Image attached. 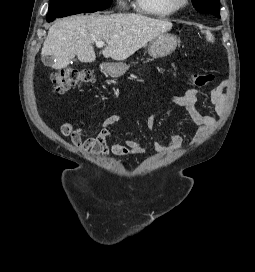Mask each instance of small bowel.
I'll return each mask as SVG.
<instances>
[{
	"instance_id": "c3829d8e",
	"label": "small bowel",
	"mask_w": 255,
	"mask_h": 272,
	"mask_svg": "<svg viewBox=\"0 0 255 272\" xmlns=\"http://www.w3.org/2000/svg\"><path fill=\"white\" fill-rule=\"evenodd\" d=\"M227 82L217 85L210 92V102L215 108V113L219 117L223 114L226 105L225 89ZM200 91L198 89H188L183 94H174L171 96L172 102L179 106L190 118L191 122L197 127L196 139H200L216 123V118L211 115L203 114L197 109ZM123 117L118 114L107 116L101 124V129L96 137L82 139V127H75L72 121L63 123L60 127L62 136L69 138L79 149L90 153L93 156L112 154L115 156H126L135 154H144L146 147L144 144L125 140L122 143H112L114 137L109 127L120 123ZM156 123V115L150 114L146 120L149 130H153ZM182 134H174L164 141H154L153 147L158 152L177 150L183 143Z\"/></svg>"
}]
</instances>
